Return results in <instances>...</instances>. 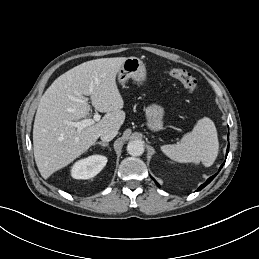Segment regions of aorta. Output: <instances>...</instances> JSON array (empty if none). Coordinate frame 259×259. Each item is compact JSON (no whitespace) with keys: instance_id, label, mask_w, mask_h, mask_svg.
Here are the masks:
<instances>
[{"instance_id":"1","label":"aorta","mask_w":259,"mask_h":259,"mask_svg":"<svg viewBox=\"0 0 259 259\" xmlns=\"http://www.w3.org/2000/svg\"><path fill=\"white\" fill-rule=\"evenodd\" d=\"M127 152L131 156H140L144 152V144L139 140L130 141L127 145Z\"/></svg>"}]
</instances>
